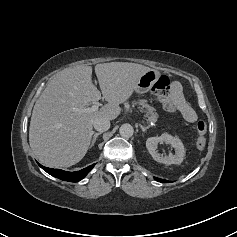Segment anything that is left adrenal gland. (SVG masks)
Listing matches in <instances>:
<instances>
[{"label": "left adrenal gland", "instance_id": "a2214340", "mask_svg": "<svg viewBox=\"0 0 237 237\" xmlns=\"http://www.w3.org/2000/svg\"><path fill=\"white\" fill-rule=\"evenodd\" d=\"M140 128L142 129L143 132H145L147 129L150 128V126H146V127H145V126H143V125L140 124Z\"/></svg>", "mask_w": 237, "mask_h": 237}]
</instances>
